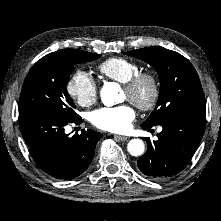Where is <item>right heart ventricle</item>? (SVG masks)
<instances>
[{
  "instance_id": "right-heart-ventricle-1",
  "label": "right heart ventricle",
  "mask_w": 221,
  "mask_h": 221,
  "mask_svg": "<svg viewBox=\"0 0 221 221\" xmlns=\"http://www.w3.org/2000/svg\"><path fill=\"white\" fill-rule=\"evenodd\" d=\"M97 70L103 77L123 84L139 73L141 67L138 63L127 58L112 57L102 61L97 66Z\"/></svg>"
}]
</instances>
